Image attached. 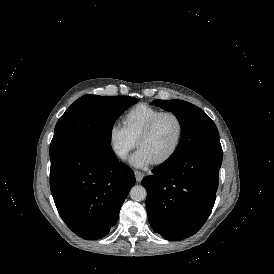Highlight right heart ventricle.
<instances>
[{
    "label": "right heart ventricle",
    "instance_id": "e07e8e85",
    "mask_svg": "<svg viewBox=\"0 0 274 274\" xmlns=\"http://www.w3.org/2000/svg\"><path fill=\"white\" fill-rule=\"evenodd\" d=\"M160 112L158 108L140 104L122 116V126L135 140L141 130Z\"/></svg>",
    "mask_w": 274,
    "mask_h": 274
}]
</instances>
